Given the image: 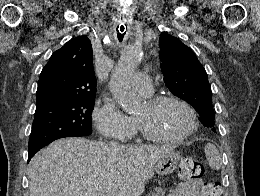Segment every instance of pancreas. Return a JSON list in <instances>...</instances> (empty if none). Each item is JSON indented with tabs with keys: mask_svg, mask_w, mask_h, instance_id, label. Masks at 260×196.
<instances>
[{
	"mask_svg": "<svg viewBox=\"0 0 260 196\" xmlns=\"http://www.w3.org/2000/svg\"><path fill=\"white\" fill-rule=\"evenodd\" d=\"M152 196H165V190H162V188H154Z\"/></svg>",
	"mask_w": 260,
	"mask_h": 196,
	"instance_id": "obj_1",
	"label": "pancreas"
}]
</instances>
